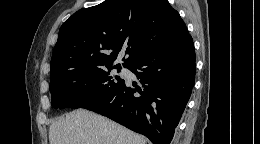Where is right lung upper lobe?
Masks as SVG:
<instances>
[{
  "instance_id": "obj_1",
  "label": "right lung upper lobe",
  "mask_w": 260,
  "mask_h": 144,
  "mask_svg": "<svg viewBox=\"0 0 260 144\" xmlns=\"http://www.w3.org/2000/svg\"><path fill=\"white\" fill-rule=\"evenodd\" d=\"M188 34L179 13L167 0H105L75 12L61 26L50 77L111 65L120 51H125L123 66L128 67Z\"/></svg>"
}]
</instances>
